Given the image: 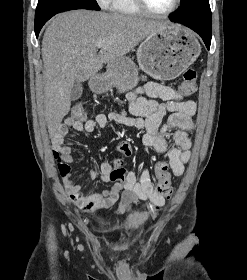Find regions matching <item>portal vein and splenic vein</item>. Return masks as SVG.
<instances>
[{"label":"portal vein and splenic vein","instance_id":"18ae733b","mask_svg":"<svg viewBox=\"0 0 247 280\" xmlns=\"http://www.w3.org/2000/svg\"><path fill=\"white\" fill-rule=\"evenodd\" d=\"M101 47H102L101 43L97 44V48H101Z\"/></svg>","mask_w":247,"mask_h":280}]
</instances>
